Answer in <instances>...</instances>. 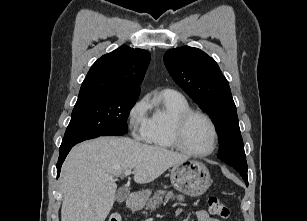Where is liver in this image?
Masks as SVG:
<instances>
[{
  "label": "liver",
  "instance_id": "obj_1",
  "mask_svg": "<svg viewBox=\"0 0 307 221\" xmlns=\"http://www.w3.org/2000/svg\"><path fill=\"white\" fill-rule=\"evenodd\" d=\"M187 159L126 137L85 141L72 148L62 166L61 221H105L115 201V176L134 169L136 183H150Z\"/></svg>",
  "mask_w": 307,
  "mask_h": 221
}]
</instances>
